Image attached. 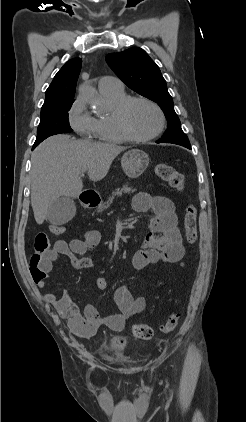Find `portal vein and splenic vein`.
<instances>
[{
    "label": "portal vein and splenic vein",
    "instance_id": "18ae733b",
    "mask_svg": "<svg viewBox=\"0 0 246 422\" xmlns=\"http://www.w3.org/2000/svg\"><path fill=\"white\" fill-rule=\"evenodd\" d=\"M84 173H85V170H83V171L81 172V175H82V176H84Z\"/></svg>",
    "mask_w": 246,
    "mask_h": 422
}]
</instances>
